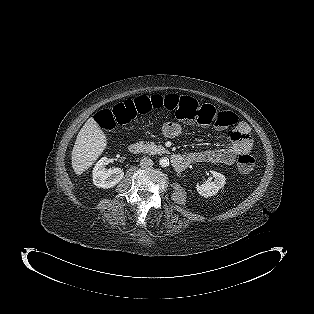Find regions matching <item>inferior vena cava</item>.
<instances>
[{
  "instance_id": "obj_1",
  "label": "inferior vena cava",
  "mask_w": 314,
  "mask_h": 314,
  "mask_svg": "<svg viewBox=\"0 0 314 314\" xmlns=\"http://www.w3.org/2000/svg\"><path fill=\"white\" fill-rule=\"evenodd\" d=\"M153 161L151 158L149 157H143L141 160H140V166L141 168H144V169H147V168H150L153 166Z\"/></svg>"
}]
</instances>
